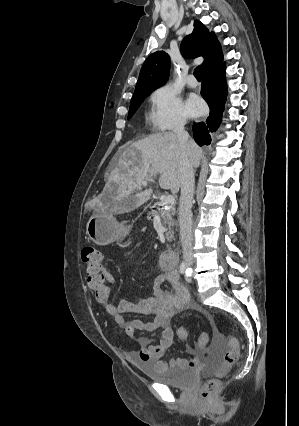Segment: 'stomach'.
<instances>
[{
    "instance_id": "stomach-1",
    "label": "stomach",
    "mask_w": 299,
    "mask_h": 426,
    "mask_svg": "<svg viewBox=\"0 0 299 426\" xmlns=\"http://www.w3.org/2000/svg\"><path fill=\"white\" fill-rule=\"evenodd\" d=\"M128 231V226L106 212L94 213L86 224L88 237L98 245H108L121 240Z\"/></svg>"
}]
</instances>
